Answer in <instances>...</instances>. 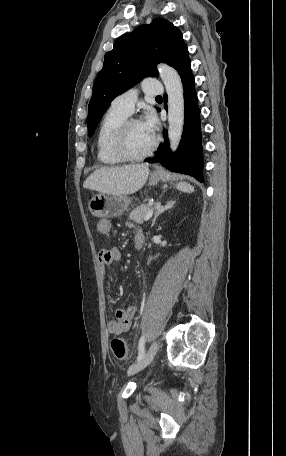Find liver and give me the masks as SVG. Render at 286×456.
Masks as SVG:
<instances>
[{
  "label": "liver",
  "mask_w": 286,
  "mask_h": 456,
  "mask_svg": "<svg viewBox=\"0 0 286 456\" xmlns=\"http://www.w3.org/2000/svg\"><path fill=\"white\" fill-rule=\"evenodd\" d=\"M148 176L147 164L102 167L88 176L83 187L105 194L128 195L141 189Z\"/></svg>",
  "instance_id": "liver-1"
}]
</instances>
